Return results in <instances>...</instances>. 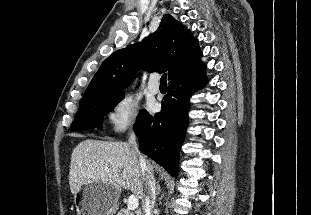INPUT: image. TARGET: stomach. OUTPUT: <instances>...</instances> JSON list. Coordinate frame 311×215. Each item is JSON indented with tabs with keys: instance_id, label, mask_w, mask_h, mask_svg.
Returning a JSON list of instances; mask_svg holds the SVG:
<instances>
[{
	"instance_id": "obj_1",
	"label": "stomach",
	"mask_w": 311,
	"mask_h": 215,
	"mask_svg": "<svg viewBox=\"0 0 311 215\" xmlns=\"http://www.w3.org/2000/svg\"><path fill=\"white\" fill-rule=\"evenodd\" d=\"M120 191L112 184L86 182L74 195L78 215H113L118 207Z\"/></svg>"
}]
</instances>
